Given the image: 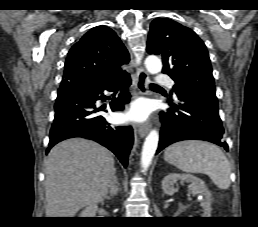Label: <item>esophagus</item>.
Listing matches in <instances>:
<instances>
[{"label":"esophagus","mask_w":258,"mask_h":227,"mask_svg":"<svg viewBox=\"0 0 258 227\" xmlns=\"http://www.w3.org/2000/svg\"><path fill=\"white\" fill-rule=\"evenodd\" d=\"M148 83H149L148 73L144 69L137 67L136 87L139 95H144V96L149 95ZM150 126H151L150 123L139 126L138 128L139 135L141 137L146 136L150 130Z\"/></svg>","instance_id":"esophagus-1"}]
</instances>
